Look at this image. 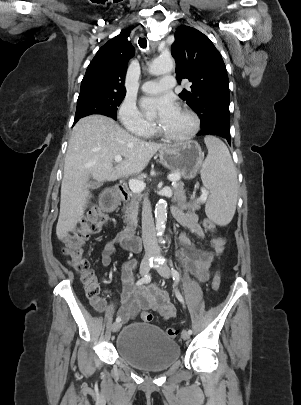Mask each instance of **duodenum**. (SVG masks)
<instances>
[{"label": "duodenum", "instance_id": "duodenum-1", "mask_svg": "<svg viewBox=\"0 0 301 405\" xmlns=\"http://www.w3.org/2000/svg\"><path fill=\"white\" fill-rule=\"evenodd\" d=\"M130 192L125 186H119L117 190H105L104 194L99 196L98 207L101 213H116L122 203L129 201ZM122 244L128 251L138 252L141 250V240L135 231V225L129 221L127 226L122 230Z\"/></svg>", "mask_w": 301, "mask_h": 405}]
</instances>
